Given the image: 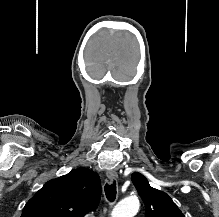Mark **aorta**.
<instances>
[{
	"mask_svg": "<svg viewBox=\"0 0 219 217\" xmlns=\"http://www.w3.org/2000/svg\"><path fill=\"white\" fill-rule=\"evenodd\" d=\"M140 207L139 200L129 197L120 201L112 211V217H134Z\"/></svg>",
	"mask_w": 219,
	"mask_h": 217,
	"instance_id": "762f6f07",
	"label": "aorta"
}]
</instances>
